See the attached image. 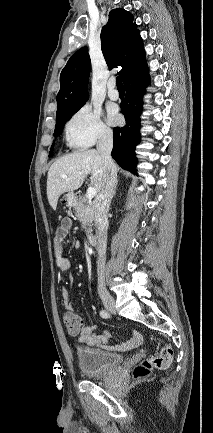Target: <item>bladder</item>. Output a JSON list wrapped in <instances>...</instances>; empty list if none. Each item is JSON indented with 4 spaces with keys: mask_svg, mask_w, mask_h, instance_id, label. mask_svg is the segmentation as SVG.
I'll list each match as a JSON object with an SVG mask.
<instances>
[{
    "mask_svg": "<svg viewBox=\"0 0 213 433\" xmlns=\"http://www.w3.org/2000/svg\"><path fill=\"white\" fill-rule=\"evenodd\" d=\"M123 356L91 347L77 350V361L83 375L103 378L115 372L123 363Z\"/></svg>",
    "mask_w": 213,
    "mask_h": 433,
    "instance_id": "obj_1",
    "label": "bladder"
}]
</instances>
